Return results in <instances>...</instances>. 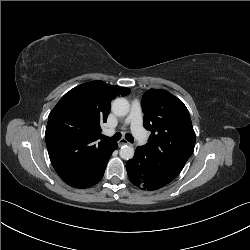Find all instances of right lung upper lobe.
Returning a JSON list of instances; mask_svg holds the SVG:
<instances>
[{
	"label": "right lung upper lobe",
	"instance_id": "1",
	"mask_svg": "<svg viewBox=\"0 0 250 250\" xmlns=\"http://www.w3.org/2000/svg\"><path fill=\"white\" fill-rule=\"evenodd\" d=\"M129 88L92 81L67 92L50 112L45 139L60 178L75 188L94 185L115 143L102 138L111 100Z\"/></svg>",
	"mask_w": 250,
	"mask_h": 250
}]
</instances>
